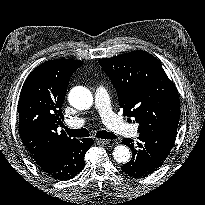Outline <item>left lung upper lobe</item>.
Returning <instances> with one entry per match:
<instances>
[{
	"label": "left lung upper lobe",
	"mask_w": 205,
	"mask_h": 205,
	"mask_svg": "<svg viewBox=\"0 0 205 205\" xmlns=\"http://www.w3.org/2000/svg\"><path fill=\"white\" fill-rule=\"evenodd\" d=\"M98 62L117 91L123 114L139 123V133L178 127L177 89L154 56L137 50Z\"/></svg>",
	"instance_id": "5c2ea615"
}]
</instances>
